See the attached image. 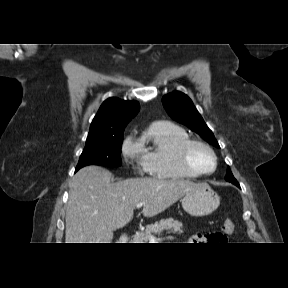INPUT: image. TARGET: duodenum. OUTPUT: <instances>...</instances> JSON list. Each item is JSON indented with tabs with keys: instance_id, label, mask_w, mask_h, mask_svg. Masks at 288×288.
Segmentation results:
<instances>
[{
	"instance_id": "410a0bca",
	"label": "duodenum",
	"mask_w": 288,
	"mask_h": 288,
	"mask_svg": "<svg viewBox=\"0 0 288 288\" xmlns=\"http://www.w3.org/2000/svg\"><path fill=\"white\" fill-rule=\"evenodd\" d=\"M121 243H131V235L128 234H122L120 236Z\"/></svg>"
}]
</instances>
